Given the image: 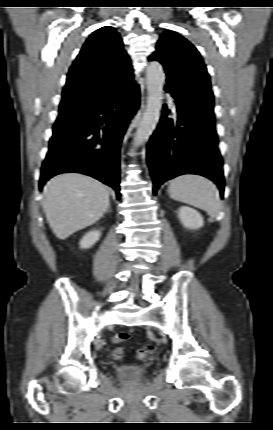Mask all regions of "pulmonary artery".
I'll list each match as a JSON object with an SVG mask.
<instances>
[{"label":"pulmonary artery","instance_id":"obj_1","mask_svg":"<svg viewBox=\"0 0 273 430\" xmlns=\"http://www.w3.org/2000/svg\"><path fill=\"white\" fill-rule=\"evenodd\" d=\"M167 97H168V102H169L170 107L175 112L176 111V106H175V103L173 102V99L169 95H167Z\"/></svg>","mask_w":273,"mask_h":430}]
</instances>
